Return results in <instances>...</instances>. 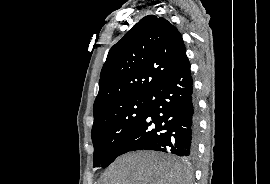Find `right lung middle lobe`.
I'll return each instance as SVG.
<instances>
[{
  "label": "right lung middle lobe",
  "instance_id": "dd1d6c3e",
  "mask_svg": "<svg viewBox=\"0 0 270 184\" xmlns=\"http://www.w3.org/2000/svg\"><path fill=\"white\" fill-rule=\"evenodd\" d=\"M147 97L123 102L94 122L93 167H107L117 156L125 142L134 133L147 112Z\"/></svg>",
  "mask_w": 270,
  "mask_h": 184
}]
</instances>
